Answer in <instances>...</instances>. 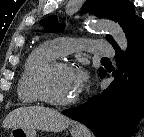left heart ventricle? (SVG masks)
Here are the masks:
<instances>
[{
	"mask_svg": "<svg viewBox=\"0 0 144 137\" xmlns=\"http://www.w3.org/2000/svg\"><path fill=\"white\" fill-rule=\"evenodd\" d=\"M73 70L59 68L52 72L48 78L47 86L50 94L59 100L75 97L72 87Z\"/></svg>",
	"mask_w": 144,
	"mask_h": 137,
	"instance_id": "b2bd125f",
	"label": "left heart ventricle"
}]
</instances>
